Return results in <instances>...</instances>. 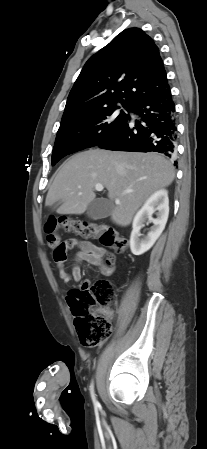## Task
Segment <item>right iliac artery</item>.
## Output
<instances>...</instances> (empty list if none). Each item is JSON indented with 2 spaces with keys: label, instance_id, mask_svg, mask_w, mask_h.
Wrapping results in <instances>:
<instances>
[{
  "label": "right iliac artery",
  "instance_id": "obj_1",
  "mask_svg": "<svg viewBox=\"0 0 207 449\" xmlns=\"http://www.w3.org/2000/svg\"><path fill=\"white\" fill-rule=\"evenodd\" d=\"M91 396H92V400L94 402L95 406H99V403L96 400L95 394H94V390H93V384H91Z\"/></svg>",
  "mask_w": 207,
  "mask_h": 449
}]
</instances>
